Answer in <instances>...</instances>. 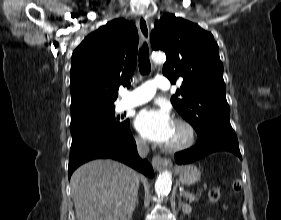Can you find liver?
Segmentation results:
<instances>
[{
	"label": "liver",
	"mask_w": 281,
	"mask_h": 220,
	"mask_svg": "<svg viewBox=\"0 0 281 220\" xmlns=\"http://www.w3.org/2000/svg\"><path fill=\"white\" fill-rule=\"evenodd\" d=\"M77 220H131L139 189V175L110 159L90 161L70 180Z\"/></svg>",
	"instance_id": "liver-1"
}]
</instances>
